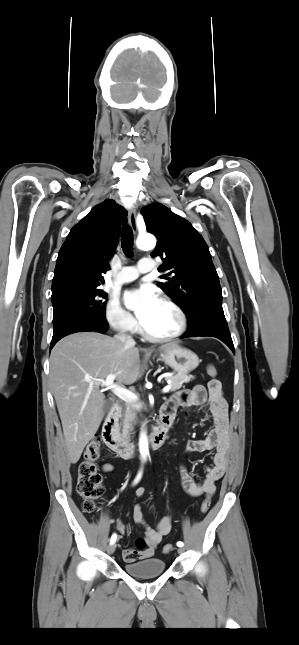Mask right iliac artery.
I'll list each match as a JSON object with an SVG mask.
<instances>
[{
  "mask_svg": "<svg viewBox=\"0 0 299 645\" xmlns=\"http://www.w3.org/2000/svg\"><path fill=\"white\" fill-rule=\"evenodd\" d=\"M141 474H142L141 472L138 474V476L136 477V479H135V481H134V484H136V483L140 480V478H141ZM116 539H117L116 534H113V535L111 536L110 543H111V544L115 543Z\"/></svg>",
  "mask_w": 299,
  "mask_h": 645,
  "instance_id": "1",
  "label": "right iliac artery"
}]
</instances>
